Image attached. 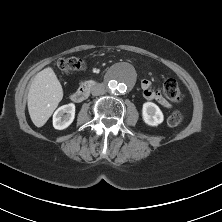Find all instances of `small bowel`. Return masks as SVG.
Returning a JSON list of instances; mask_svg holds the SVG:
<instances>
[{
  "label": "small bowel",
  "instance_id": "c3829d8e",
  "mask_svg": "<svg viewBox=\"0 0 222 222\" xmlns=\"http://www.w3.org/2000/svg\"><path fill=\"white\" fill-rule=\"evenodd\" d=\"M141 88L143 91L144 97L149 101H157L165 108H170V104L152 88V84L148 79H143L141 81Z\"/></svg>",
  "mask_w": 222,
  "mask_h": 222
}]
</instances>
